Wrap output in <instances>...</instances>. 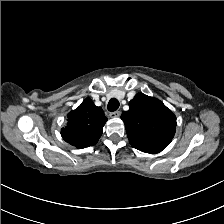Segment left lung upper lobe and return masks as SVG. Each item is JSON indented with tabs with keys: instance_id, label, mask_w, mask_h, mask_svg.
<instances>
[{
	"instance_id": "5c2ea615",
	"label": "left lung upper lobe",
	"mask_w": 224,
	"mask_h": 224,
	"mask_svg": "<svg viewBox=\"0 0 224 224\" xmlns=\"http://www.w3.org/2000/svg\"><path fill=\"white\" fill-rule=\"evenodd\" d=\"M121 115L132 147L150 154L164 150L175 134L176 117L160 100L138 93Z\"/></svg>"
}]
</instances>
